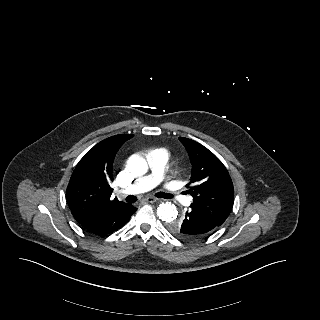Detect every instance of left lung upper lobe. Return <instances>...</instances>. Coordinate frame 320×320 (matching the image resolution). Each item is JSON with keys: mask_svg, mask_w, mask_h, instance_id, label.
I'll return each mask as SVG.
<instances>
[{"mask_svg": "<svg viewBox=\"0 0 320 320\" xmlns=\"http://www.w3.org/2000/svg\"><path fill=\"white\" fill-rule=\"evenodd\" d=\"M192 161L188 190L193 197L190 208L203 214L217 225L229 216L234 203L231 177L223 163L206 147L191 139L180 137ZM171 231L181 239L194 240L181 231V221L170 224Z\"/></svg>", "mask_w": 320, "mask_h": 320, "instance_id": "left-lung-upper-lobe-1", "label": "left lung upper lobe"}]
</instances>
